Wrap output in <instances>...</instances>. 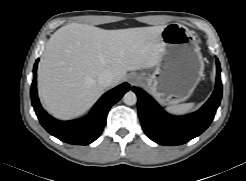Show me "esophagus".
<instances>
[{"mask_svg":"<svg viewBox=\"0 0 246 181\" xmlns=\"http://www.w3.org/2000/svg\"><path fill=\"white\" fill-rule=\"evenodd\" d=\"M136 83H137V81L135 79H133V78L130 79V84L131 85L136 84Z\"/></svg>","mask_w":246,"mask_h":181,"instance_id":"34e87169","label":"esophagus"}]
</instances>
